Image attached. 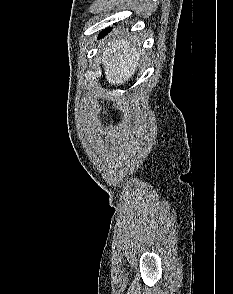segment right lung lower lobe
I'll use <instances>...</instances> for the list:
<instances>
[{
  "label": "right lung lower lobe",
  "instance_id": "right-lung-lower-lobe-1",
  "mask_svg": "<svg viewBox=\"0 0 233 294\" xmlns=\"http://www.w3.org/2000/svg\"><path fill=\"white\" fill-rule=\"evenodd\" d=\"M108 31H109V29L104 30V31L100 34V36H103V35L106 34Z\"/></svg>",
  "mask_w": 233,
  "mask_h": 294
}]
</instances>
